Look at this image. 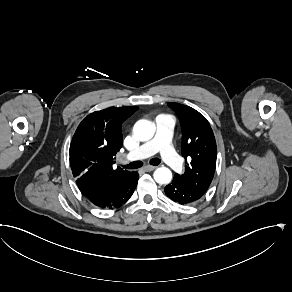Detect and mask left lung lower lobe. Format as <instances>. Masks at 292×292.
Wrapping results in <instances>:
<instances>
[{
    "instance_id": "left-lung-lower-lobe-1",
    "label": "left lung lower lobe",
    "mask_w": 292,
    "mask_h": 292,
    "mask_svg": "<svg viewBox=\"0 0 292 292\" xmlns=\"http://www.w3.org/2000/svg\"><path fill=\"white\" fill-rule=\"evenodd\" d=\"M165 194L173 201L185 205L198 201L205 193L173 179L172 183L165 187Z\"/></svg>"
}]
</instances>
